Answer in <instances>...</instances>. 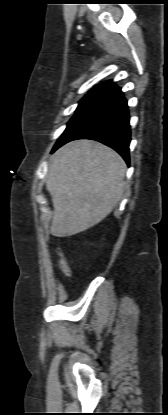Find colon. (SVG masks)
I'll use <instances>...</instances> for the list:
<instances>
[{
	"instance_id": "1",
	"label": "colon",
	"mask_w": 168,
	"mask_h": 415,
	"mask_svg": "<svg viewBox=\"0 0 168 415\" xmlns=\"http://www.w3.org/2000/svg\"><path fill=\"white\" fill-rule=\"evenodd\" d=\"M59 268L64 276L69 275V267L67 265L66 258L62 252L60 253Z\"/></svg>"
}]
</instances>
